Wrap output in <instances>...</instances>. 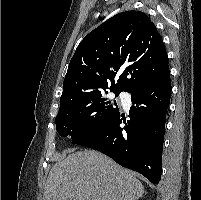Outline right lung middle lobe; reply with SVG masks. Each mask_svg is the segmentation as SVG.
<instances>
[{"mask_svg":"<svg viewBox=\"0 0 201 200\" xmlns=\"http://www.w3.org/2000/svg\"><path fill=\"white\" fill-rule=\"evenodd\" d=\"M101 96L99 91L61 102L55 119L59 135L75 140L99 128L119 110L115 100L106 102Z\"/></svg>","mask_w":201,"mask_h":200,"instance_id":"obj_1","label":"right lung middle lobe"}]
</instances>
